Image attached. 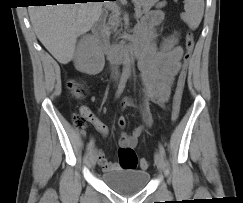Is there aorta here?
<instances>
[{
  "label": "aorta",
  "mask_w": 243,
  "mask_h": 203,
  "mask_svg": "<svg viewBox=\"0 0 243 203\" xmlns=\"http://www.w3.org/2000/svg\"><path fill=\"white\" fill-rule=\"evenodd\" d=\"M132 60L130 58V54L127 51L124 55V70L125 72H129L131 68Z\"/></svg>",
  "instance_id": "aorta-1"
}]
</instances>
